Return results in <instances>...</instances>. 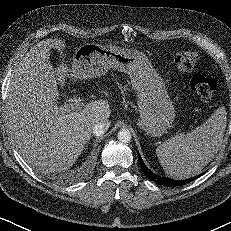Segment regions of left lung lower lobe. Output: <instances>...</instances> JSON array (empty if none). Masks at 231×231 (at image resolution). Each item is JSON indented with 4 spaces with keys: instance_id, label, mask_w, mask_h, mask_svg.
Instances as JSON below:
<instances>
[{
    "instance_id": "0a47b994",
    "label": "left lung lower lobe",
    "mask_w": 231,
    "mask_h": 231,
    "mask_svg": "<svg viewBox=\"0 0 231 231\" xmlns=\"http://www.w3.org/2000/svg\"><path fill=\"white\" fill-rule=\"evenodd\" d=\"M137 156H138V160H139V163H140L141 170L143 171L145 176L148 179L154 181L157 184L164 185V186H167V187H174V186L183 185V184L197 178V177H193V178H190L188 180L187 179L186 180H174V179H171V178H166V177L156 175L146 167V165L144 164V162H143V160H142L139 153H137Z\"/></svg>"
}]
</instances>
